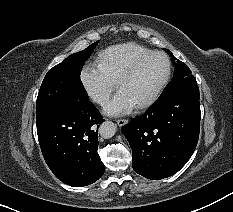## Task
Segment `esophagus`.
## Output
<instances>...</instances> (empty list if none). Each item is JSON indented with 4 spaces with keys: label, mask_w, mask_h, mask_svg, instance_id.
Wrapping results in <instances>:
<instances>
[{
    "label": "esophagus",
    "mask_w": 233,
    "mask_h": 212,
    "mask_svg": "<svg viewBox=\"0 0 233 212\" xmlns=\"http://www.w3.org/2000/svg\"><path fill=\"white\" fill-rule=\"evenodd\" d=\"M116 122H117L118 126L121 127V126L127 124L128 120H126V119H118Z\"/></svg>",
    "instance_id": "1"
}]
</instances>
